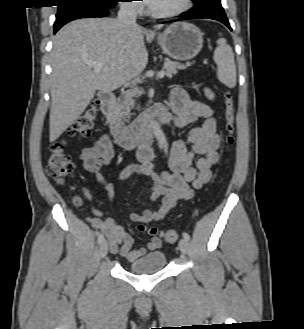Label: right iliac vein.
Listing matches in <instances>:
<instances>
[{
  "label": "right iliac vein",
  "instance_id": "right-iliac-vein-1",
  "mask_svg": "<svg viewBox=\"0 0 304 329\" xmlns=\"http://www.w3.org/2000/svg\"><path fill=\"white\" fill-rule=\"evenodd\" d=\"M99 251H100V256L102 258H104L107 255V253H108V243H107V241H103L101 243Z\"/></svg>",
  "mask_w": 304,
  "mask_h": 329
}]
</instances>
